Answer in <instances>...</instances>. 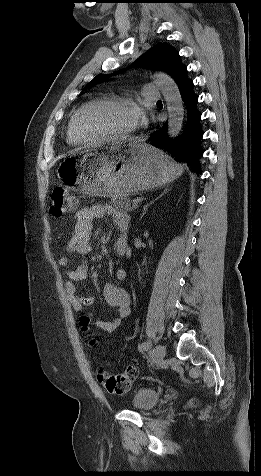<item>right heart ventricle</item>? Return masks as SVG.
<instances>
[{"label": "right heart ventricle", "instance_id": "e07e8e85", "mask_svg": "<svg viewBox=\"0 0 261 476\" xmlns=\"http://www.w3.org/2000/svg\"><path fill=\"white\" fill-rule=\"evenodd\" d=\"M67 141L70 145L72 146H78L80 145L82 142H80L74 132H73V129H72V119L70 120L69 124H68V128H67Z\"/></svg>", "mask_w": 261, "mask_h": 476}]
</instances>
